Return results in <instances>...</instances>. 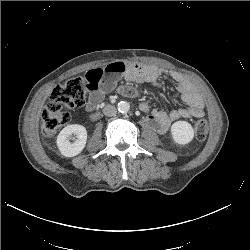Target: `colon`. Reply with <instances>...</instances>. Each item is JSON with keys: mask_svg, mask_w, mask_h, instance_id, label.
<instances>
[{"mask_svg": "<svg viewBox=\"0 0 250 250\" xmlns=\"http://www.w3.org/2000/svg\"><path fill=\"white\" fill-rule=\"evenodd\" d=\"M88 82L84 77H74L58 84L51 92L42 111V131L51 136L58 128L67 124L71 111L86 103ZM209 131L208 122L204 119L194 123V133L198 140H205Z\"/></svg>", "mask_w": 250, "mask_h": 250, "instance_id": "obj_1", "label": "colon"}]
</instances>
